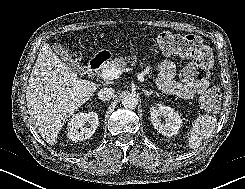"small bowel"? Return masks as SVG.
Returning a JSON list of instances; mask_svg holds the SVG:
<instances>
[{"mask_svg":"<svg viewBox=\"0 0 245 189\" xmlns=\"http://www.w3.org/2000/svg\"><path fill=\"white\" fill-rule=\"evenodd\" d=\"M157 70L159 72L157 85L160 90L170 95H177L183 99H191L197 95L204 93L209 86L207 80L192 84L183 85L174 81L175 65L170 61H163L158 64Z\"/></svg>","mask_w":245,"mask_h":189,"instance_id":"small-bowel-1","label":"small bowel"}]
</instances>
